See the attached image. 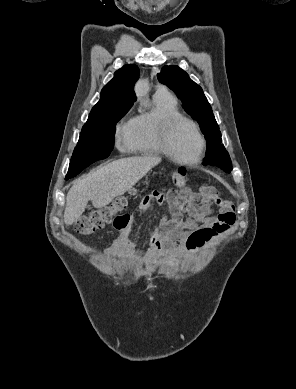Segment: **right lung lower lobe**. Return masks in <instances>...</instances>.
<instances>
[{
    "label": "right lung lower lobe",
    "mask_w": 296,
    "mask_h": 389,
    "mask_svg": "<svg viewBox=\"0 0 296 389\" xmlns=\"http://www.w3.org/2000/svg\"><path fill=\"white\" fill-rule=\"evenodd\" d=\"M84 168L86 167H82L80 169H77V170H72V171H69L66 175V180H68L69 178H72L74 176H76L77 174H79Z\"/></svg>",
    "instance_id": "obj_1"
}]
</instances>
